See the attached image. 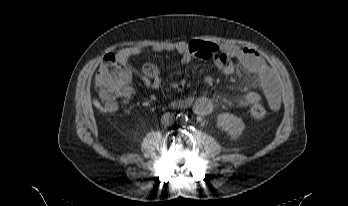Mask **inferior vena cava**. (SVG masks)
Returning <instances> with one entry per match:
<instances>
[{
	"label": "inferior vena cava",
	"mask_w": 348,
	"mask_h": 206,
	"mask_svg": "<svg viewBox=\"0 0 348 206\" xmlns=\"http://www.w3.org/2000/svg\"><path fill=\"white\" fill-rule=\"evenodd\" d=\"M161 120L164 124H171L173 122V116L170 113H165Z\"/></svg>",
	"instance_id": "1"
}]
</instances>
